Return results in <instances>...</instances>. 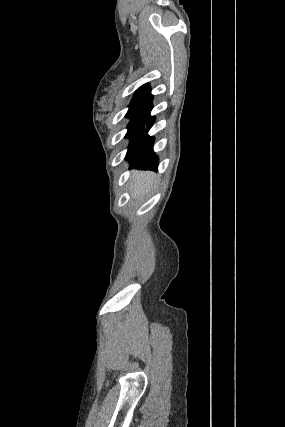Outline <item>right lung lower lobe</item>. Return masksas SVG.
<instances>
[{
	"mask_svg": "<svg viewBox=\"0 0 285 427\" xmlns=\"http://www.w3.org/2000/svg\"><path fill=\"white\" fill-rule=\"evenodd\" d=\"M155 118L148 115L145 120V124H147V128L145 132L147 133L154 123ZM153 142L154 138L145 134L142 138V143L140 148L138 149L135 157L130 161V167H136L139 169H150L157 170L158 167V157L155 155L153 151Z\"/></svg>",
	"mask_w": 285,
	"mask_h": 427,
	"instance_id": "1",
	"label": "right lung lower lobe"
}]
</instances>
